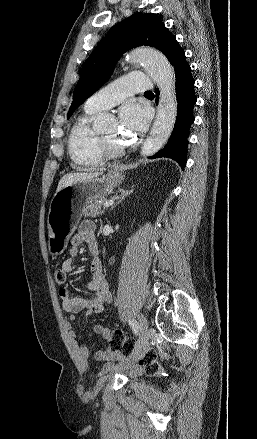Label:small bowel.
I'll return each mask as SVG.
<instances>
[{
    "instance_id": "obj_1",
    "label": "small bowel",
    "mask_w": 257,
    "mask_h": 439,
    "mask_svg": "<svg viewBox=\"0 0 257 439\" xmlns=\"http://www.w3.org/2000/svg\"><path fill=\"white\" fill-rule=\"evenodd\" d=\"M71 249L70 254L72 257L76 256L79 247L82 244H87L89 252L93 255V259L90 264L91 279L86 283V286L94 292V295L90 299H86L81 296H72L66 288L59 290V295L62 299V307L64 311L70 314V321L75 320V315L82 312L85 316H89L93 313H101L105 310L107 305L110 304L112 298L109 290V285L103 273L102 263L98 258L99 245L95 238V225L92 221H83L78 231L71 237ZM74 268L73 259H66L61 266V269L66 273L72 272ZM94 332L103 337L109 338L111 330L102 324L94 326ZM69 335L72 339H77L75 331L70 330ZM78 355L80 365L83 370H86L89 366V350L84 345L78 346ZM94 359L104 362L103 370L106 372H112L115 370V362L122 361L123 358L119 353L113 352L109 347L98 350L94 354ZM141 372V369L136 364H128L121 373L133 377L137 376Z\"/></svg>"
}]
</instances>
